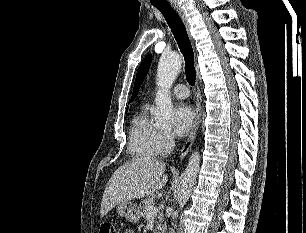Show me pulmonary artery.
<instances>
[{"label": "pulmonary artery", "mask_w": 306, "mask_h": 233, "mask_svg": "<svg viewBox=\"0 0 306 233\" xmlns=\"http://www.w3.org/2000/svg\"><path fill=\"white\" fill-rule=\"evenodd\" d=\"M171 92L175 97L180 98V99H185L189 96V90L187 86L184 84H179V85L174 86Z\"/></svg>", "instance_id": "e3ab8cb5"}]
</instances>
